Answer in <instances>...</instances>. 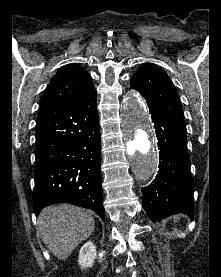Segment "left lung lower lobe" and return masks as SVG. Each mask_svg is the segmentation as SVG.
<instances>
[{"mask_svg":"<svg viewBox=\"0 0 221 277\" xmlns=\"http://www.w3.org/2000/svg\"><path fill=\"white\" fill-rule=\"evenodd\" d=\"M158 139L159 170L154 181L142 187V204L153 221L176 213L194 218V184L189 171L186 132L156 107L148 104Z\"/></svg>","mask_w":221,"mask_h":277,"instance_id":"left-lung-lower-lobe-1","label":"left lung lower lobe"}]
</instances>
